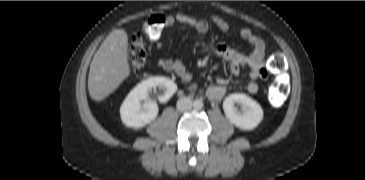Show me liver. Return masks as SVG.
I'll return each mask as SVG.
<instances>
[{
  "label": "liver",
  "instance_id": "obj_1",
  "mask_svg": "<svg viewBox=\"0 0 365 180\" xmlns=\"http://www.w3.org/2000/svg\"><path fill=\"white\" fill-rule=\"evenodd\" d=\"M127 51L123 29L113 30L103 41L90 64L88 90L93 100H104L130 75Z\"/></svg>",
  "mask_w": 365,
  "mask_h": 180
}]
</instances>
